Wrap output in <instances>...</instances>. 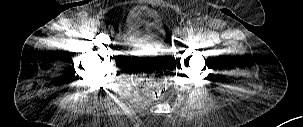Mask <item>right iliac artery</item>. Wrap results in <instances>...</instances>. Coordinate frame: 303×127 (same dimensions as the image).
Instances as JSON below:
<instances>
[{
	"label": "right iliac artery",
	"mask_w": 303,
	"mask_h": 127,
	"mask_svg": "<svg viewBox=\"0 0 303 127\" xmlns=\"http://www.w3.org/2000/svg\"><path fill=\"white\" fill-rule=\"evenodd\" d=\"M97 22H98V21L95 20V19H90L88 23H89V25L94 26V25L97 24Z\"/></svg>",
	"instance_id": "obj_1"
}]
</instances>
